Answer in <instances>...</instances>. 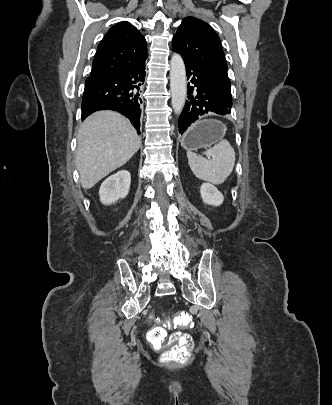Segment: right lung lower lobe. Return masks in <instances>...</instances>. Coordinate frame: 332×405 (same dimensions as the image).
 Returning <instances> with one entry per match:
<instances>
[{"instance_id": "98d812e1", "label": "right lung lower lobe", "mask_w": 332, "mask_h": 405, "mask_svg": "<svg viewBox=\"0 0 332 405\" xmlns=\"http://www.w3.org/2000/svg\"><path fill=\"white\" fill-rule=\"evenodd\" d=\"M145 61L119 71L92 74L86 79L82 100V120L98 110L111 109L125 115L140 134Z\"/></svg>"}]
</instances>
